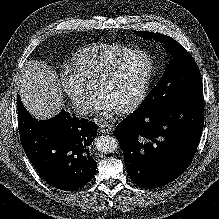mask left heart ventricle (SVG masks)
I'll return each mask as SVG.
<instances>
[{"label": "left heart ventricle", "mask_w": 219, "mask_h": 219, "mask_svg": "<svg viewBox=\"0 0 219 219\" xmlns=\"http://www.w3.org/2000/svg\"><path fill=\"white\" fill-rule=\"evenodd\" d=\"M149 68L143 54L125 60L113 77L105 84L99 95L106 98L117 109L130 102L138 92Z\"/></svg>", "instance_id": "1"}]
</instances>
